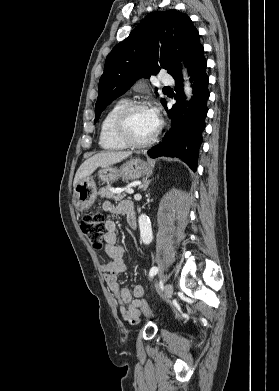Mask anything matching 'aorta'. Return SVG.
Wrapping results in <instances>:
<instances>
[{"label": "aorta", "mask_w": 279, "mask_h": 391, "mask_svg": "<svg viewBox=\"0 0 279 391\" xmlns=\"http://www.w3.org/2000/svg\"><path fill=\"white\" fill-rule=\"evenodd\" d=\"M184 91L188 98H190L192 94V88L190 87V83L185 74V83H184ZM139 227H140V237L144 244H150L152 241V228L150 219L147 215L141 214L139 216Z\"/></svg>", "instance_id": "1"}]
</instances>
